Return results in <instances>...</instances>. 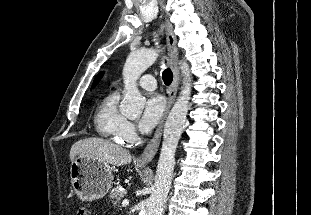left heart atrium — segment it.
Instances as JSON below:
<instances>
[{
	"label": "left heart atrium",
	"mask_w": 311,
	"mask_h": 215,
	"mask_svg": "<svg viewBox=\"0 0 311 215\" xmlns=\"http://www.w3.org/2000/svg\"><path fill=\"white\" fill-rule=\"evenodd\" d=\"M165 109V101L161 96L154 95L145 102L138 125L142 133L150 132L160 120Z\"/></svg>",
	"instance_id": "left-heart-atrium-1"
}]
</instances>
